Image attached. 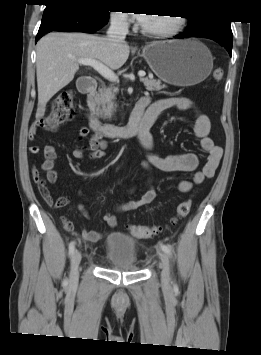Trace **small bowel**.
<instances>
[{"instance_id":"c3829d8e","label":"small bowel","mask_w":261,"mask_h":355,"mask_svg":"<svg viewBox=\"0 0 261 355\" xmlns=\"http://www.w3.org/2000/svg\"><path fill=\"white\" fill-rule=\"evenodd\" d=\"M143 101L142 114L146 120L154 123L158 115L170 108H175L180 111H191L195 114L194 120V134L200 139L202 149L207 153L206 163L201 170H197L199 160L195 153H184L178 155H169L166 157L158 156L152 153L153 138L150 133V128L139 133L138 138L141 146L146 151V159L142 162V166L147 169H158L164 172L183 171L191 173V180H181L178 184V190L182 193H188L192 190L194 184H199L207 178L214 176L215 171L220 163L222 157V149L214 143L210 137V120L208 116L200 112L194 103L186 97L182 96H168L150 103L148 97L142 98ZM37 126L34 124L30 128L29 138L33 139ZM90 134L87 126H81L76 142H81ZM108 142L100 133H93L89 136L87 145L76 144L74 146L72 155L76 159H83L88 157L90 159H100L105 156L104 149L107 147ZM43 152L44 160L40 165V169L46 172V179L49 183H57L59 180L58 172L55 170V161L57 159L56 148L53 145H46L41 149L37 145L29 147V153L36 155ZM40 169L37 166L32 168V179L37 185L43 199L46 203L54 208H63L72 201L71 196H61L54 199L46 186V181L40 174ZM150 188L142 195L139 200H129L119 204L115 208V212H127L139 208L154 201L156 198V190L152 185V179H149ZM131 189L129 193H132ZM77 209L85 219L90 218V212L85 204L78 203ZM103 220L110 226H116V216L107 212L103 215ZM61 222L65 231L75 233L74 224L65 217H61ZM83 240L91 243L98 242L102 238V233L94 230L83 229L81 231Z\"/></svg>"}]
</instances>
